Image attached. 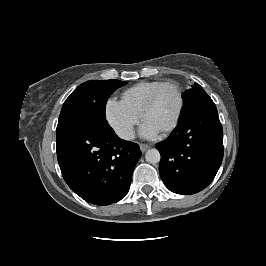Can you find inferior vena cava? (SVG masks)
<instances>
[{"label": "inferior vena cava", "instance_id": "602c4592", "mask_svg": "<svg viewBox=\"0 0 266 266\" xmlns=\"http://www.w3.org/2000/svg\"><path fill=\"white\" fill-rule=\"evenodd\" d=\"M118 136L125 140H133L135 138V133L133 128H125L118 132Z\"/></svg>", "mask_w": 266, "mask_h": 266}]
</instances>
